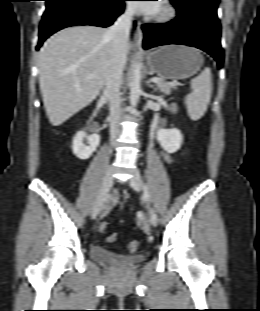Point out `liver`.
Segmentation results:
<instances>
[{
    "label": "liver",
    "mask_w": 260,
    "mask_h": 311,
    "mask_svg": "<svg viewBox=\"0 0 260 311\" xmlns=\"http://www.w3.org/2000/svg\"><path fill=\"white\" fill-rule=\"evenodd\" d=\"M108 29L73 26L51 36L38 56L39 85L50 123L59 126L91 103L109 71ZM131 48H125V60ZM94 77H90V75Z\"/></svg>",
    "instance_id": "6515ba94"
}]
</instances>
